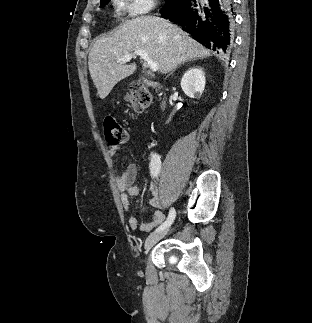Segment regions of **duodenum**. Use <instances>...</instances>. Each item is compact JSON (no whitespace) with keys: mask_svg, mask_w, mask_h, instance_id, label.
I'll return each instance as SVG.
<instances>
[{"mask_svg":"<svg viewBox=\"0 0 312 323\" xmlns=\"http://www.w3.org/2000/svg\"><path fill=\"white\" fill-rule=\"evenodd\" d=\"M147 85L153 89L159 90L160 92H162V88L159 84H157L156 82H148ZM161 107H163V103L161 104Z\"/></svg>","mask_w":312,"mask_h":323,"instance_id":"1","label":"duodenum"}]
</instances>
